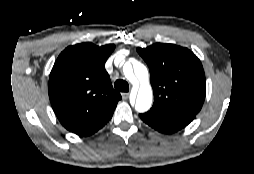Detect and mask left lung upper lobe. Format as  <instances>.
I'll return each instance as SVG.
<instances>
[{
	"label": "left lung upper lobe",
	"mask_w": 254,
	"mask_h": 174,
	"mask_svg": "<svg viewBox=\"0 0 254 174\" xmlns=\"http://www.w3.org/2000/svg\"><path fill=\"white\" fill-rule=\"evenodd\" d=\"M137 51L150 70L153 107L195 117L206 93L205 74L197 56L187 48L163 43Z\"/></svg>",
	"instance_id": "obj_1"
}]
</instances>
